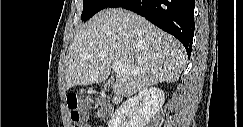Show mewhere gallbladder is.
I'll list each match as a JSON object with an SVG mask.
<instances>
[{"mask_svg":"<svg viewBox=\"0 0 243 127\" xmlns=\"http://www.w3.org/2000/svg\"><path fill=\"white\" fill-rule=\"evenodd\" d=\"M104 87H105V89H107V88H109V87H110V83H109V81H108V82H106V83L104 84Z\"/></svg>","mask_w":243,"mask_h":127,"instance_id":"bac80fb5","label":"gallbladder"}]
</instances>
